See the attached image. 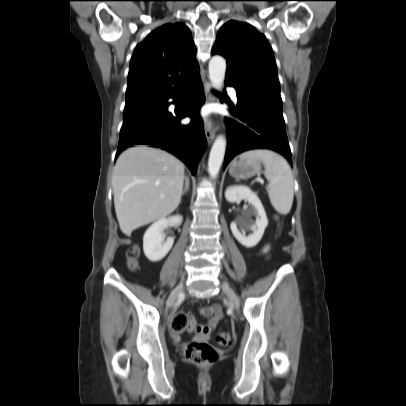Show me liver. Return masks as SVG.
Wrapping results in <instances>:
<instances>
[{
    "instance_id": "1",
    "label": "liver",
    "mask_w": 406,
    "mask_h": 406,
    "mask_svg": "<svg viewBox=\"0 0 406 406\" xmlns=\"http://www.w3.org/2000/svg\"><path fill=\"white\" fill-rule=\"evenodd\" d=\"M184 164L173 155L147 146L124 151L114 167V206L121 231L163 219L179 205Z\"/></svg>"
}]
</instances>
